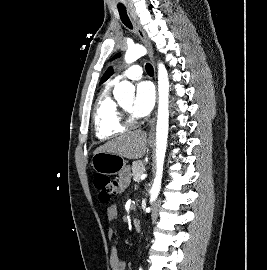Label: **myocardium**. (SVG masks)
<instances>
[{
	"label": "myocardium",
	"instance_id": "f54148a6",
	"mask_svg": "<svg viewBox=\"0 0 267 270\" xmlns=\"http://www.w3.org/2000/svg\"><path fill=\"white\" fill-rule=\"evenodd\" d=\"M119 118L126 127H132L139 123L138 119L122 105H119Z\"/></svg>",
	"mask_w": 267,
	"mask_h": 270
}]
</instances>
